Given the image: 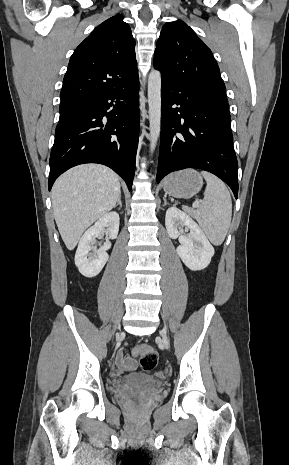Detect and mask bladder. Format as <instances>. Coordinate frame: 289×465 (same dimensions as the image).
Here are the masks:
<instances>
[{"label": "bladder", "instance_id": "bladder-1", "mask_svg": "<svg viewBox=\"0 0 289 465\" xmlns=\"http://www.w3.org/2000/svg\"><path fill=\"white\" fill-rule=\"evenodd\" d=\"M126 382L138 384L140 386L150 389H160L162 382L150 375L132 374L125 378Z\"/></svg>", "mask_w": 289, "mask_h": 465}]
</instances>
